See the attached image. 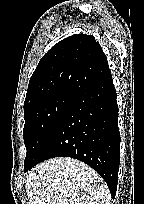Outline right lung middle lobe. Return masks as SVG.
<instances>
[{"mask_svg":"<svg viewBox=\"0 0 144 204\" xmlns=\"http://www.w3.org/2000/svg\"><path fill=\"white\" fill-rule=\"evenodd\" d=\"M74 97L71 93H60L24 109L23 137L27 149L24 172L33 164L38 151Z\"/></svg>","mask_w":144,"mask_h":204,"instance_id":"right-lung-middle-lobe-1","label":"right lung middle lobe"}]
</instances>
